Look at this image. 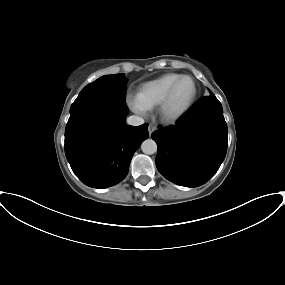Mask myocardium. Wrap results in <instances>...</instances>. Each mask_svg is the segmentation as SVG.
I'll list each match as a JSON object with an SVG mask.
<instances>
[{
  "label": "myocardium",
  "instance_id": "obj_1",
  "mask_svg": "<svg viewBox=\"0 0 285 285\" xmlns=\"http://www.w3.org/2000/svg\"><path fill=\"white\" fill-rule=\"evenodd\" d=\"M183 79H190L193 82V85H194L193 95L190 101L182 109L178 111H172L170 108V105H171L173 94L177 86ZM197 96H198V86H197L196 80L190 75H181L169 87L164 98L159 104V113H160L162 120L167 123H174L182 119L184 116H186L191 111V109L195 105Z\"/></svg>",
  "mask_w": 285,
  "mask_h": 285
}]
</instances>
